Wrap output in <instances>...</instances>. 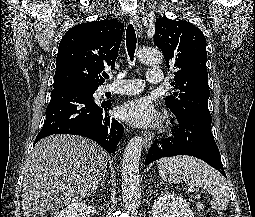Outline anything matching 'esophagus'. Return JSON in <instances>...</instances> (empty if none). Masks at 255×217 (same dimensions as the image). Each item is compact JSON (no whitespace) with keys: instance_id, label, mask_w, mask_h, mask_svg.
<instances>
[{"instance_id":"1","label":"esophagus","mask_w":255,"mask_h":217,"mask_svg":"<svg viewBox=\"0 0 255 217\" xmlns=\"http://www.w3.org/2000/svg\"><path fill=\"white\" fill-rule=\"evenodd\" d=\"M130 22L133 23L137 35H142V25L136 13L130 14ZM143 144L145 148H149L153 143L154 134L152 132L145 131L143 134Z\"/></svg>"}]
</instances>
